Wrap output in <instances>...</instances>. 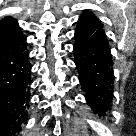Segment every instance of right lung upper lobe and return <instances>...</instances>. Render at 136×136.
I'll list each match as a JSON object with an SVG mask.
<instances>
[{
    "label": "right lung upper lobe",
    "mask_w": 136,
    "mask_h": 136,
    "mask_svg": "<svg viewBox=\"0 0 136 136\" xmlns=\"http://www.w3.org/2000/svg\"><path fill=\"white\" fill-rule=\"evenodd\" d=\"M22 34L17 20L5 17L0 21V41L18 37Z\"/></svg>",
    "instance_id": "1"
}]
</instances>
